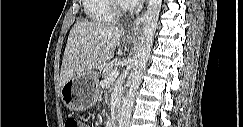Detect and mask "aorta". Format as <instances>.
I'll return each instance as SVG.
<instances>
[{
	"mask_svg": "<svg viewBox=\"0 0 243 127\" xmlns=\"http://www.w3.org/2000/svg\"><path fill=\"white\" fill-rule=\"evenodd\" d=\"M162 0H149L142 28L141 42L135 62L134 75L119 112L118 127H129L131 110L136 92L141 84L143 73L150 55L153 38L161 10Z\"/></svg>",
	"mask_w": 243,
	"mask_h": 127,
	"instance_id": "aorta-1",
	"label": "aorta"
}]
</instances>
